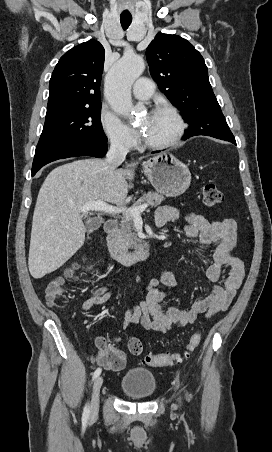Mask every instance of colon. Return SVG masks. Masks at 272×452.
Instances as JSON below:
<instances>
[{
  "label": "colon",
  "instance_id": "5ec220e1",
  "mask_svg": "<svg viewBox=\"0 0 272 452\" xmlns=\"http://www.w3.org/2000/svg\"><path fill=\"white\" fill-rule=\"evenodd\" d=\"M202 198L206 206L213 207L223 203L224 194L214 183H207L203 187ZM78 269V265H73L62 276L56 278L49 284L46 289V300L49 306L53 307L56 305L57 301L60 299L64 292L65 284L68 281H72L77 278ZM200 340L201 333L199 331H196L192 334L186 345V356H188L197 348ZM97 347L99 349L97 361L104 368L116 370L123 367L124 356L121 352L110 348L106 344L105 340L98 341ZM128 349L133 355H140L143 351V346L140 341L131 340L128 342ZM178 359L179 356L176 354L159 353L147 355L146 357H144L142 362L154 367H164L173 364Z\"/></svg>",
  "mask_w": 272,
  "mask_h": 452
}]
</instances>
